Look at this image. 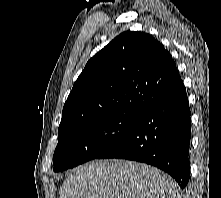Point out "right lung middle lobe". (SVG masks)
Wrapping results in <instances>:
<instances>
[{"label": "right lung middle lobe", "mask_w": 221, "mask_h": 198, "mask_svg": "<svg viewBox=\"0 0 221 198\" xmlns=\"http://www.w3.org/2000/svg\"><path fill=\"white\" fill-rule=\"evenodd\" d=\"M139 117L135 114H114L59 135L53 155V170L55 172L64 171L95 159L128 134Z\"/></svg>", "instance_id": "obj_1"}]
</instances>
